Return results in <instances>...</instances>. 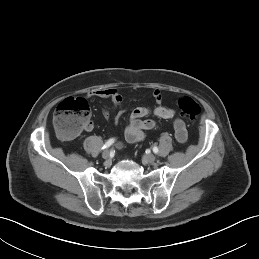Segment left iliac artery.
I'll list each match as a JSON object with an SVG mask.
<instances>
[{
    "label": "left iliac artery",
    "instance_id": "left-iliac-artery-1",
    "mask_svg": "<svg viewBox=\"0 0 259 259\" xmlns=\"http://www.w3.org/2000/svg\"><path fill=\"white\" fill-rule=\"evenodd\" d=\"M158 151H159V150H158V148H157L156 146L153 147V152H154V153H158Z\"/></svg>",
    "mask_w": 259,
    "mask_h": 259
}]
</instances>
